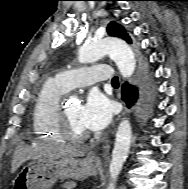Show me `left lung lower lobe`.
<instances>
[{
	"mask_svg": "<svg viewBox=\"0 0 188 189\" xmlns=\"http://www.w3.org/2000/svg\"><path fill=\"white\" fill-rule=\"evenodd\" d=\"M154 94V86L152 84L151 76L148 75L142 84V95L143 97H152ZM138 98L137 88L129 85L128 83L122 86V100L125 101L126 105L130 108L136 102Z\"/></svg>",
	"mask_w": 188,
	"mask_h": 189,
	"instance_id": "obj_1",
	"label": "left lung lower lobe"
}]
</instances>
